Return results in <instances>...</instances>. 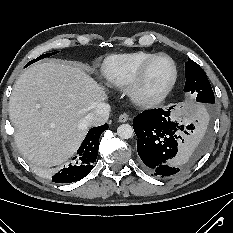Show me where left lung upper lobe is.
<instances>
[{"instance_id": "left-lung-upper-lobe-1", "label": "left lung upper lobe", "mask_w": 233, "mask_h": 233, "mask_svg": "<svg viewBox=\"0 0 233 233\" xmlns=\"http://www.w3.org/2000/svg\"><path fill=\"white\" fill-rule=\"evenodd\" d=\"M185 92H197L196 100L198 102L214 103V93L211 88L210 82L207 79L204 70L193 60L188 58L185 63Z\"/></svg>"}]
</instances>
